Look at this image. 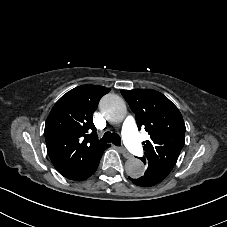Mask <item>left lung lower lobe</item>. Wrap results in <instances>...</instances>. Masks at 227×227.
I'll return each instance as SVG.
<instances>
[{
    "mask_svg": "<svg viewBox=\"0 0 227 227\" xmlns=\"http://www.w3.org/2000/svg\"><path fill=\"white\" fill-rule=\"evenodd\" d=\"M167 176H168V173L163 171L157 165L148 164V168H147L144 176H142V177H140L138 179H132V178L129 177V179L135 185H138V186H141V187H149V186H153V185L158 184L159 182H161Z\"/></svg>",
    "mask_w": 227,
    "mask_h": 227,
    "instance_id": "1",
    "label": "left lung lower lobe"
}]
</instances>
